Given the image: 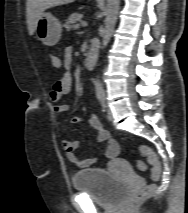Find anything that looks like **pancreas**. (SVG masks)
I'll return each instance as SVG.
<instances>
[{
    "label": "pancreas",
    "mask_w": 188,
    "mask_h": 213,
    "mask_svg": "<svg viewBox=\"0 0 188 213\" xmlns=\"http://www.w3.org/2000/svg\"><path fill=\"white\" fill-rule=\"evenodd\" d=\"M81 15L78 12L72 13L64 23V27L69 29H78Z\"/></svg>",
    "instance_id": "obj_1"
}]
</instances>
